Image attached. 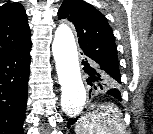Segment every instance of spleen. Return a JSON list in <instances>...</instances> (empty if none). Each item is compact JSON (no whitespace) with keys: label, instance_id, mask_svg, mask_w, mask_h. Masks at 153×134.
Masks as SVG:
<instances>
[{"label":"spleen","instance_id":"3e777b00","mask_svg":"<svg viewBox=\"0 0 153 134\" xmlns=\"http://www.w3.org/2000/svg\"><path fill=\"white\" fill-rule=\"evenodd\" d=\"M122 112L110 103H94L75 126L76 134H125Z\"/></svg>","mask_w":153,"mask_h":134}]
</instances>
